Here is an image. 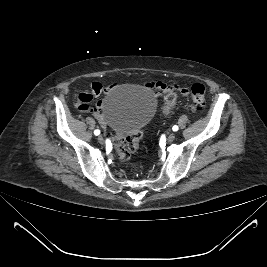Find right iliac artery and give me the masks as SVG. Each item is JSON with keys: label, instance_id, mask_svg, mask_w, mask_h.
<instances>
[{"label": "right iliac artery", "instance_id": "obj_1", "mask_svg": "<svg viewBox=\"0 0 267 267\" xmlns=\"http://www.w3.org/2000/svg\"><path fill=\"white\" fill-rule=\"evenodd\" d=\"M94 134H95V135H99V134H100V131H99V130H95V131H94Z\"/></svg>", "mask_w": 267, "mask_h": 267}]
</instances>
